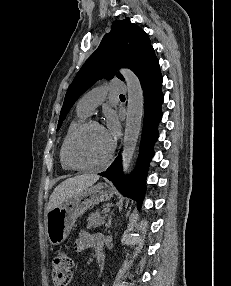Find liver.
<instances>
[{"label":"liver","instance_id":"1","mask_svg":"<svg viewBox=\"0 0 231 286\" xmlns=\"http://www.w3.org/2000/svg\"><path fill=\"white\" fill-rule=\"evenodd\" d=\"M98 179L99 176L95 174H84L66 179L52 192L46 207V212L61 205L75 193L92 186Z\"/></svg>","mask_w":231,"mask_h":286}]
</instances>
